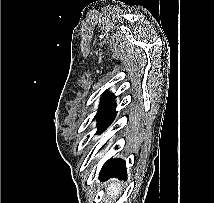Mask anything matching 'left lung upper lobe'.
Here are the masks:
<instances>
[{"label":"left lung upper lobe","instance_id":"5c2ea615","mask_svg":"<svg viewBox=\"0 0 214 203\" xmlns=\"http://www.w3.org/2000/svg\"><path fill=\"white\" fill-rule=\"evenodd\" d=\"M115 98L116 96H114L113 94L106 93V95L103 97L101 101L99 110L95 115L94 119H96L112 102H114Z\"/></svg>","mask_w":214,"mask_h":203}]
</instances>
